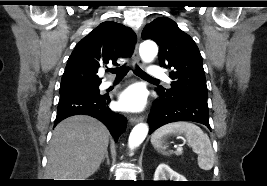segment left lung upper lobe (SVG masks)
<instances>
[{
    "label": "left lung upper lobe",
    "instance_id": "left-lung-upper-lobe-1",
    "mask_svg": "<svg viewBox=\"0 0 267 186\" xmlns=\"http://www.w3.org/2000/svg\"><path fill=\"white\" fill-rule=\"evenodd\" d=\"M142 38L152 39L159 45L160 66L171 70V88L159 86L158 94L207 100L202 56L193 39L176 22L167 17L157 18L145 26Z\"/></svg>",
    "mask_w": 267,
    "mask_h": 186
}]
</instances>
